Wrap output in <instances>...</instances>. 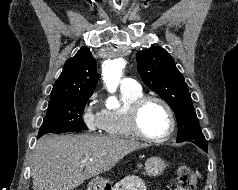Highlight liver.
<instances>
[{
  "mask_svg": "<svg viewBox=\"0 0 238 190\" xmlns=\"http://www.w3.org/2000/svg\"><path fill=\"white\" fill-rule=\"evenodd\" d=\"M142 147L136 141L89 134L44 135L33 153V189L72 190Z\"/></svg>",
  "mask_w": 238,
  "mask_h": 190,
  "instance_id": "1",
  "label": "liver"
}]
</instances>
